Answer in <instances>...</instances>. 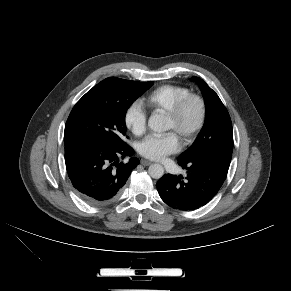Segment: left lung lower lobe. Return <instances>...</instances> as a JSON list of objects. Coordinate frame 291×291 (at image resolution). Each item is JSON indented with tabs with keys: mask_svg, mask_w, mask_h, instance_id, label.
Masks as SVG:
<instances>
[{
	"mask_svg": "<svg viewBox=\"0 0 291 291\" xmlns=\"http://www.w3.org/2000/svg\"><path fill=\"white\" fill-rule=\"evenodd\" d=\"M187 176L164 175L157 183L161 199L170 207L183 211L198 209L207 204L219 191L230 161L219 158H196L178 161Z\"/></svg>",
	"mask_w": 291,
	"mask_h": 291,
	"instance_id": "obj_1",
	"label": "left lung lower lobe"
}]
</instances>
